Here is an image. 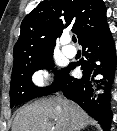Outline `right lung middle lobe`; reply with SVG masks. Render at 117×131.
<instances>
[{
  "mask_svg": "<svg viewBox=\"0 0 117 131\" xmlns=\"http://www.w3.org/2000/svg\"><path fill=\"white\" fill-rule=\"evenodd\" d=\"M53 66L51 54L37 62L13 68L10 85V107L12 108L34 98L57 92L62 86L65 69L56 73V80L49 87H36L31 80L32 74L36 70L50 69Z\"/></svg>",
  "mask_w": 117,
  "mask_h": 131,
  "instance_id": "dd1d6c3e",
  "label": "right lung middle lobe"
}]
</instances>
